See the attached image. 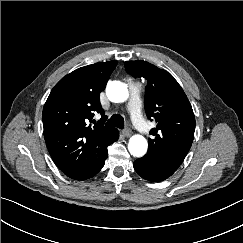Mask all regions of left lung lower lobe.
I'll use <instances>...</instances> for the list:
<instances>
[{
    "instance_id": "left-lung-lower-lobe-1",
    "label": "left lung lower lobe",
    "mask_w": 243,
    "mask_h": 243,
    "mask_svg": "<svg viewBox=\"0 0 243 243\" xmlns=\"http://www.w3.org/2000/svg\"><path fill=\"white\" fill-rule=\"evenodd\" d=\"M133 166L135 171L142 178L153 182L163 181L177 170L169 167L158 159L148 156L137 159Z\"/></svg>"
}]
</instances>
